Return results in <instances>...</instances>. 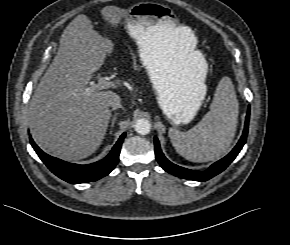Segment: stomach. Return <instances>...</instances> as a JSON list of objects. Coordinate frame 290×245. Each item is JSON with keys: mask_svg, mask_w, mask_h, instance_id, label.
<instances>
[{"mask_svg": "<svg viewBox=\"0 0 290 245\" xmlns=\"http://www.w3.org/2000/svg\"><path fill=\"white\" fill-rule=\"evenodd\" d=\"M170 15L171 12L158 13L151 7L133 8L122 24L138 46L163 112L174 125H179L194 118L206 96V67L196 53L181 65L176 61L169 35L176 24Z\"/></svg>", "mask_w": 290, "mask_h": 245, "instance_id": "obj_1", "label": "stomach"}]
</instances>
